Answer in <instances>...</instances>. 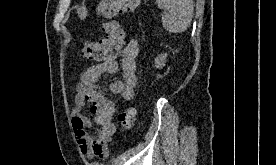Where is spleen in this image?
I'll use <instances>...</instances> for the list:
<instances>
[{
  "label": "spleen",
  "mask_w": 276,
  "mask_h": 165,
  "mask_svg": "<svg viewBox=\"0 0 276 165\" xmlns=\"http://www.w3.org/2000/svg\"><path fill=\"white\" fill-rule=\"evenodd\" d=\"M156 3L160 9L166 10L162 16L164 29L172 33L187 30L193 17V0H156Z\"/></svg>",
  "instance_id": "obj_1"
}]
</instances>
